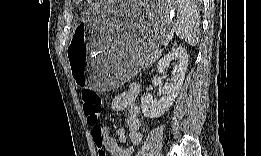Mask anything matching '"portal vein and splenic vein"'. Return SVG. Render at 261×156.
<instances>
[{
  "label": "portal vein and splenic vein",
  "mask_w": 261,
  "mask_h": 156,
  "mask_svg": "<svg viewBox=\"0 0 261 156\" xmlns=\"http://www.w3.org/2000/svg\"><path fill=\"white\" fill-rule=\"evenodd\" d=\"M168 43H169V41L166 39V40L164 41V45L166 46Z\"/></svg>",
  "instance_id": "obj_1"
}]
</instances>
